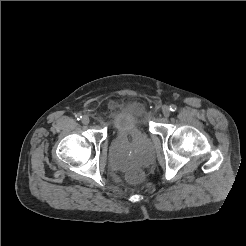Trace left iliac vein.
Listing matches in <instances>:
<instances>
[{"instance_id":"1","label":"left iliac vein","mask_w":246,"mask_h":246,"mask_svg":"<svg viewBox=\"0 0 246 246\" xmlns=\"http://www.w3.org/2000/svg\"><path fill=\"white\" fill-rule=\"evenodd\" d=\"M162 113H163L164 117H166V118L169 117L170 116V109H169V107L164 106L162 108Z\"/></svg>"}]
</instances>
